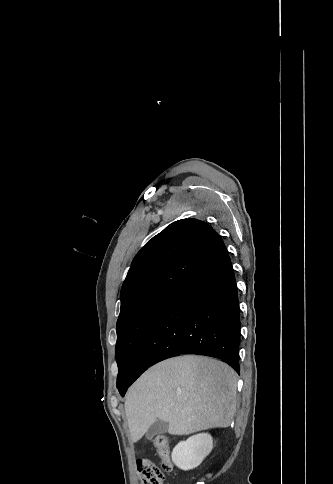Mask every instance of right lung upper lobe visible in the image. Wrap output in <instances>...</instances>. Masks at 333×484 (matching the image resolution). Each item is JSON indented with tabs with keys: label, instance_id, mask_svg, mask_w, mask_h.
<instances>
[{
	"label": "right lung upper lobe",
	"instance_id": "cb5924a9",
	"mask_svg": "<svg viewBox=\"0 0 333 484\" xmlns=\"http://www.w3.org/2000/svg\"><path fill=\"white\" fill-rule=\"evenodd\" d=\"M227 253L222 238L206 222L171 223L133 259L121 289L119 317L159 293L179 289Z\"/></svg>",
	"mask_w": 333,
	"mask_h": 484
}]
</instances>
